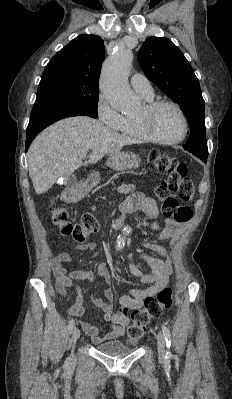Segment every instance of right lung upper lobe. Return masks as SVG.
Segmentation results:
<instances>
[{"instance_id": "1", "label": "right lung upper lobe", "mask_w": 232, "mask_h": 399, "mask_svg": "<svg viewBox=\"0 0 232 399\" xmlns=\"http://www.w3.org/2000/svg\"><path fill=\"white\" fill-rule=\"evenodd\" d=\"M104 57L103 40L97 35L82 34L51 59L41 80L61 78L76 83L98 85Z\"/></svg>"}]
</instances>
